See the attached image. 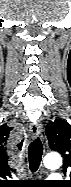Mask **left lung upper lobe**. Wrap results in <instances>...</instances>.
<instances>
[{"label": "left lung upper lobe", "mask_w": 71, "mask_h": 187, "mask_svg": "<svg viewBox=\"0 0 71 187\" xmlns=\"http://www.w3.org/2000/svg\"><path fill=\"white\" fill-rule=\"evenodd\" d=\"M46 135L50 148L62 154L63 170L66 174L71 170V125L65 120L56 119L47 124Z\"/></svg>", "instance_id": "1"}]
</instances>
